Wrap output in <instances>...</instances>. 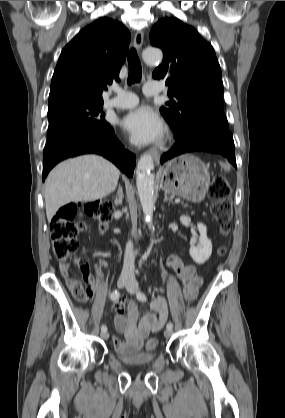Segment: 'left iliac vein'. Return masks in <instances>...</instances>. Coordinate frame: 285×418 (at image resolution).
Listing matches in <instances>:
<instances>
[{
  "label": "left iliac vein",
  "instance_id": "left-iliac-vein-1",
  "mask_svg": "<svg viewBox=\"0 0 285 418\" xmlns=\"http://www.w3.org/2000/svg\"><path fill=\"white\" fill-rule=\"evenodd\" d=\"M126 290L131 294L137 293V291L139 290V285H138L137 281L133 278H130L129 281L126 283ZM171 335H172V330L171 329H167L164 332V336L166 338L171 337Z\"/></svg>",
  "mask_w": 285,
  "mask_h": 418
}]
</instances>
